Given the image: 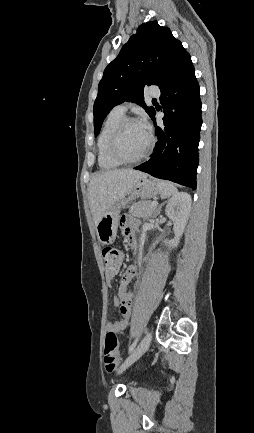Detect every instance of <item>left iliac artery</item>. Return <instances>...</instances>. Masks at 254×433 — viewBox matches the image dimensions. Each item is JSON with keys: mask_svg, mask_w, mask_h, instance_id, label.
<instances>
[{"mask_svg": "<svg viewBox=\"0 0 254 433\" xmlns=\"http://www.w3.org/2000/svg\"><path fill=\"white\" fill-rule=\"evenodd\" d=\"M137 342H138V338H136L135 340H134V342L130 345V347H129V352H131V351H133L134 350V348L136 347V345H137Z\"/></svg>", "mask_w": 254, "mask_h": 433, "instance_id": "1", "label": "left iliac artery"}]
</instances>
